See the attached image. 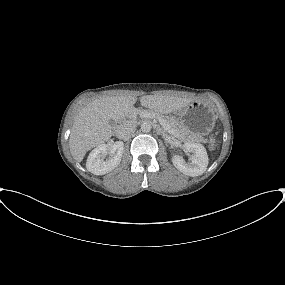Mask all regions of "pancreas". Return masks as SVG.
Listing matches in <instances>:
<instances>
[{
  "mask_svg": "<svg viewBox=\"0 0 285 285\" xmlns=\"http://www.w3.org/2000/svg\"><path fill=\"white\" fill-rule=\"evenodd\" d=\"M143 113H150L152 116L165 121L170 127V130L166 131L174 135L175 137L183 138L186 135H188V133L180 126L179 122L173 117L163 116L149 110L146 111L140 110L134 114L133 118L135 119L137 114H143ZM194 140L198 142L199 141L205 142V140L202 137H195Z\"/></svg>",
  "mask_w": 285,
  "mask_h": 285,
  "instance_id": "1",
  "label": "pancreas"
}]
</instances>
